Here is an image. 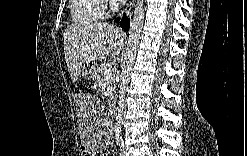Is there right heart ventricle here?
<instances>
[{"label": "right heart ventricle", "mask_w": 247, "mask_h": 156, "mask_svg": "<svg viewBox=\"0 0 247 156\" xmlns=\"http://www.w3.org/2000/svg\"><path fill=\"white\" fill-rule=\"evenodd\" d=\"M70 14L74 23L90 24L102 18V1L73 0L70 4Z\"/></svg>", "instance_id": "obj_1"}]
</instances>
